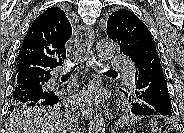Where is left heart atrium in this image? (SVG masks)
<instances>
[{"label": "left heart atrium", "mask_w": 184, "mask_h": 133, "mask_svg": "<svg viewBox=\"0 0 184 133\" xmlns=\"http://www.w3.org/2000/svg\"><path fill=\"white\" fill-rule=\"evenodd\" d=\"M100 96V90L96 85L87 86L83 92V98L89 101H98Z\"/></svg>", "instance_id": "1"}]
</instances>
